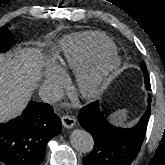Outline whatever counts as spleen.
<instances>
[{"label": "spleen", "instance_id": "spleen-1", "mask_svg": "<svg viewBox=\"0 0 165 165\" xmlns=\"http://www.w3.org/2000/svg\"><path fill=\"white\" fill-rule=\"evenodd\" d=\"M127 113H128L127 109H120L114 112L113 114H111L110 119L112 120V122L116 124L123 125L124 121L127 119Z\"/></svg>", "mask_w": 165, "mask_h": 165}]
</instances>
